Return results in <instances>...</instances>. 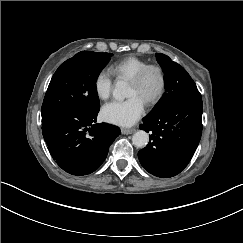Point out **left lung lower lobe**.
<instances>
[{
  "instance_id": "left-lung-lower-lobe-1",
  "label": "left lung lower lobe",
  "mask_w": 243,
  "mask_h": 243,
  "mask_svg": "<svg viewBox=\"0 0 243 243\" xmlns=\"http://www.w3.org/2000/svg\"><path fill=\"white\" fill-rule=\"evenodd\" d=\"M202 111L201 97H181L143 119L140 129L151 135L138 157L149 173L173 177L188 165L201 139Z\"/></svg>"
}]
</instances>
